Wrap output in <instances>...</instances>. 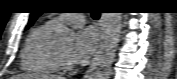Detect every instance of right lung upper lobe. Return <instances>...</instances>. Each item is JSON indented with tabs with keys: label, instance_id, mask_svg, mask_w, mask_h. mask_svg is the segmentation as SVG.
<instances>
[{
	"label": "right lung upper lobe",
	"instance_id": "1",
	"mask_svg": "<svg viewBox=\"0 0 177 79\" xmlns=\"http://www.w3.org/2000/svg\"><path fill=\"white\" fill-rule=\"evenodd\" d=\"M41 12H33L30 16V19H29V25H32L35 20L38 18V16H40Z\"/></svg>",
	"mask_w": 177,
	"mask_h": 79
}]
</instances>
